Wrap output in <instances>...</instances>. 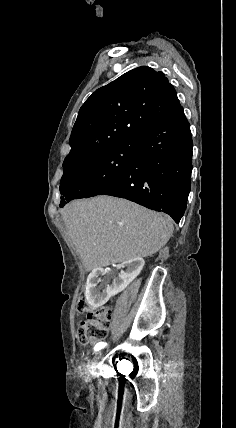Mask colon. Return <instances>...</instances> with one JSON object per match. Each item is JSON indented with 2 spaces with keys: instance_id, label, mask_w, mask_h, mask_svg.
<instances>
[{
  "instance_id": "colon-1",
  "label": "colon",
  "mask_w": 236,
  "mask_h": 428,
  "mask_svg": "<svg viewBox=\"0 0 236 428\" xmlns=\"http://www.w3.org/2000/svg\"><path fill=\"white\" fill-rule=\"evenodd\" d=\"M78 309L85 314L77 329V339L81 344H95L107 336L111 319L108 309H96L85 299V289L79 294Z\"/></svg>"
}]
</instances>
